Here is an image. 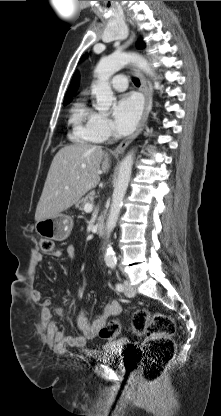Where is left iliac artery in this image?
Wrapping results in <instances>:
<instances>
[{"instance_id":"obj_1","label":"left iliac artery","mask_w":221,"mask_h":416,"mask_svg":"<svg viewBox=\"0 0 221 416\" xmlns=\"http://www.w3.org/2000/svg\"><path fill=\"white\" fill-rule=\"evenodd\" d=\"M110 267L114 268L115 264H111ZM116 290L119 291V292L123 291L124 290L123 284H121V283L116 284Z\"/></svg>"}]
</instances>
